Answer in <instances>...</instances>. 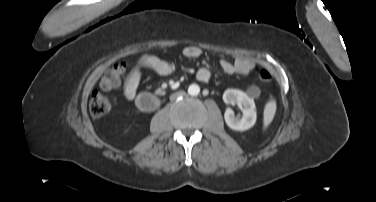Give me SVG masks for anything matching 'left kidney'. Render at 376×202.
Listing matches in <instances>:
<instances>
[{"instance_id":"obj_1","label":"left kidney","mask_w":376,"mask_h":202,"mask_svg":"<svg viewBox=\"0 0 376 202\" xmlns=\"http://www.w3.org/2000/svg\"><path fill=\"white\" fill-rule=\"evenodd\" d=\"M223 101L226 104L243 106L241 118L236 117L232 109H226L224 119L231 129L245 131L254 126L257 119L256 106L254 100L246 93L237 89H227L223 94Z\"/></svg>"}]
</instances>
